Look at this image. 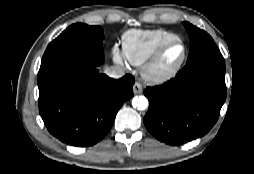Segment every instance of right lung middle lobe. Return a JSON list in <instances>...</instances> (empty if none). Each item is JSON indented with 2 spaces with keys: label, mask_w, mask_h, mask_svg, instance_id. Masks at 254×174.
I'll use <instances>...</instances> for the list:
<instances>
[{
  "label": "right lung middle lobe",
  "mask_w": 254,
  "mask_h": 174,
  "mask_svg": "<svg viewBox=\"0 0 254 174\" xmlns=\"http://www.w3.org/2000/svg\"><path fill=\"white\" fill-rule=\"evenodd\" d=\"M103 29L76 23L64 30L47 47L38 72V81L72 66H99L104 61Z\"/></svg>",
  "instance_id": "1"
}]
</instances>
